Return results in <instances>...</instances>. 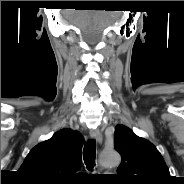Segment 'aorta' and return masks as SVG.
Segmentation results:
<instances>
[{
    "label": "aorta",
    "mask_w": 184,
    "mask_h": 184,
    "mask_svg": "<svg viewBox=\"0 0 184 184\" xmlns=\"http://www.w3.org/2000/svg\"><path fill=\"white\" fill-rule=\"evenodd\" d=\"M121 157L115 150H104L100 155V163L105 167H115L120 164Z\"/></svg>",
    "instance_id": "762f6f07"
}]
</instances>
